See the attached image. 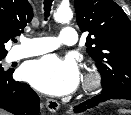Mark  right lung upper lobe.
Listing matches in <instances>:
<instances>
[{
    "mask_svg": "<svg viewBox=\"0 0 131 115\" xmlns=\"http://www.w3.org/2000/svg\"><path fill=\"white\" fill-rule=\"evenodd\" d=\"M32 17L33 10L27 0H0V56H6L4 44L19 36Z\"/></svg>",
    "mask_w": 131,
    "mask_h": 115,
    "instance_id": "1",
    "label": "right lung upper lobe"
}]
</instances>
